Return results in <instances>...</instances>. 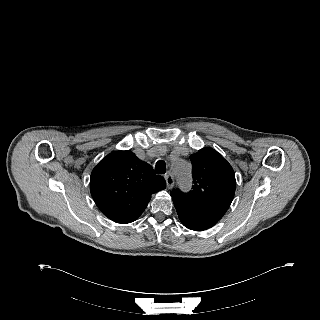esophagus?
<instances>
[{
    "label": "esophagus",
    "mask_w": 320,
    "mask_h": 320,
    "mask_svg": "<svg viewBox=\"0 0 320 320\" xmlns=\"http://www.w3.org/2000/svg\"><path fill=\"white\" fill-rule=\"evenodd\" d=\"M165 180H166V184H167V187L170 189L173 187L174 185V177L171 173H167L165 175Z\"/></svg>",
    "instance_id": "34e87169"
}]
</instances>
